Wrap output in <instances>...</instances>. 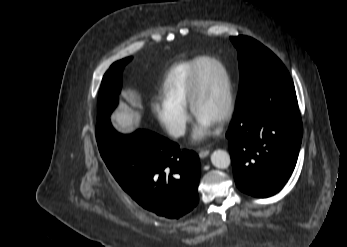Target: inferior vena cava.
<instances>
[{
  "label": "inferior vena cava",
  "instance_id": "obj_1",
  "mask_svg": "<svg viewBox=\"0 0 347 247\" xmlns=\"http://www.w3.org/2000/svg\"><path fill=\"white\" fill-rule=\"evenodd\" d=\"M186 126L184 123L173 124L169 128V132L174 137H180L185 134Z\"/></svg>",
  "mask_w": 347,
  "mask_h": 247
}]
</instances>
